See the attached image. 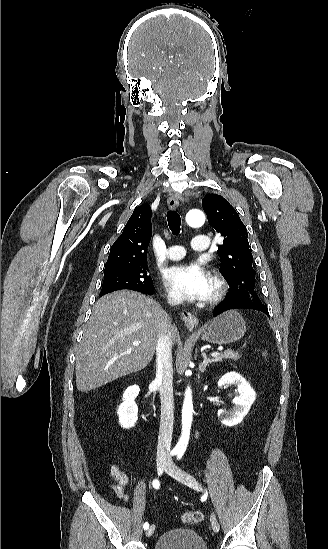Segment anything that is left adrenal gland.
Returning a JSON list of instances; mask_svg holds the SVG:
<instances>
[{"mask_svg":"<svg viewBox=\"0 0 328 549\" xmlns=\"http://www.w3.org/2000/svg\"><path fill=\"white\" fill-rule=\"evenodd\" d=\"M202 357H203V363L202 365H200L199 369L201 373H204V371H206V367H209V363H214V361L213 359H208L206 353H202Z\"/></svg>","mask_w":328,"mask_h":549,"instance_id":"obj_1","label":"left adrenal gland"}]
</instances>
